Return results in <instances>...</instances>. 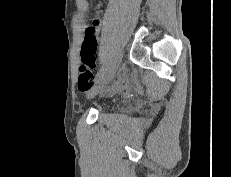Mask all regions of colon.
I'll return each mask as SVG.
<instances>
[{
  "label": "colon",
  "mask_w": 231,
  "mask_h": 177,
  "mask_svg": "<svg viewBox=\"0 0 231 177\" xmlns=\"http://www.w3.org/2000/svg\"><path fill=\"white\" fill-rule=\"evenodd\" d=\"M97 36L92 28L85 33L81 47L82 64L79 68L78 87L87 91L93 86V70L96 62Z\"/></svg>",
  "instance_id": "1"
}]
</instances>
